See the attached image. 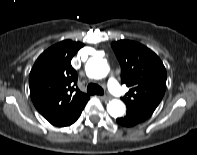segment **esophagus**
I'll return each mask as SVG.
<instances>
[{"instance_id": "1", "label": "esophagus", "mask_w": 197, "mask_h": 155, "mask_svg": "<svg viewBox=\"0 0 197 155\" xmlns=\"http://www.w3.org/2000/svg\"><path fill=\"white\" fill-rule=\"evenodd\" d=\"M100 99L103 100V101H108V100H110V97L102 96V97H100Z\"/></svg>"}]
</instances>
